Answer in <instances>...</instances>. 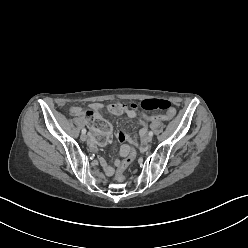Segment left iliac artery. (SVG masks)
Segmentation results:
<instances>
[{
    "label": "left iliac artery",
    "instance_id": "44dca946",
    "mask_svg": "<svg viewBox=\"0 0 248 248\" xmlns=\"http://www.w3.org/2000/svg\"><path fill=\"white\" fill-rule=\"evenodd\" d=\"M149 135H150V136H153V132H152V131H149Z\"/></svg>",
    "mask_w": 248,
    "mask_h": 248
}]
</instances>
